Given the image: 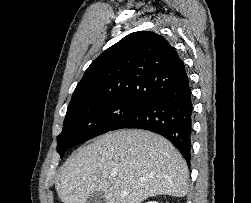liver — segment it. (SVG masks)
<instances>
[{"label":"liver","instance_id":"1","mask_svg":"<svg viewBox=\"0 0 251 203\" xmlns=\"http://www.w3.org/2000/svg\"><path fill=\"white\" fill-rule=\"evenodd\" d=\"M188 176L185 160L168 140L149 131L119 130L75 151L55 188L63 203H85L98 191L106 203H141L157 195L184 197Z\"/></svg>","mask_w":251,"mask_h":203}]
</instances>
